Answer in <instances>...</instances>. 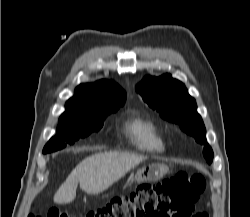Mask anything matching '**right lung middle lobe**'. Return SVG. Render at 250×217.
<instances>
[{
  "label": "right lung middle lobe",
  "instance_id": "1",
  "mask_svg": "<svg viewBox=\"0 0 250 217\" xmlns=\"http://www.w3.org/2000/svg\"><path fill=\"white\" fill-rule=\"evenodd\" d=\"M111 112H104L86 120L61 121L57 127L56 137H53L45 145L43 153H50L63 149L67 143L73 144L79 138H84L94 131H99Z\"/></svg>",
  "mask_w": 250,
  "mask_h": 217
}]
</instances>
